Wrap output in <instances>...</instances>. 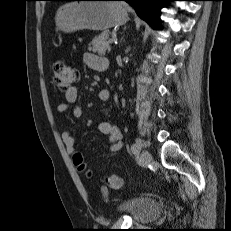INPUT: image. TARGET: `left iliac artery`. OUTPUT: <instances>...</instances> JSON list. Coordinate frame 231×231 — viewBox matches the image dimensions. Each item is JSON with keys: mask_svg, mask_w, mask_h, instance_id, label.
Segmentation results:
<instances>
[{"mask_svg": "<svg viewBox=\"0 0 231 231\" xmlns=\"http://www.w3.org/2000/svg\"><path fill=\"white\" fill-rule=\"evenodd\" d=\"M142 145L139 142L134 143L131 146V151L133 154L138 155L140 153Z\"/></svg>", "mask_w": 231, "mask_h": 231, "instance_id": "44dca946", "label": "left iliac artery"}]
</instances>
